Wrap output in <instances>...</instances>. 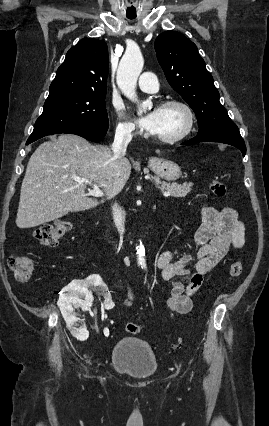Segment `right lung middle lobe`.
Segmentation results:
<instances>
[{
    "mask_svg": "<svg viewBox=\"0 0 269 426\" xmlns=\"http://www.w3.org/2000/svg\"><path fill=\"white\" fill-rule=\"evenodd\" d=\"M106 94L58 91L49 93L28 140L89 126L108 129Z\"/></svg>",
    "mask_w": 269,
    "mask_h": 426,
    "instance_id": "obj_1",
    "label": "right lung middle lobe"
}]
</instances>
